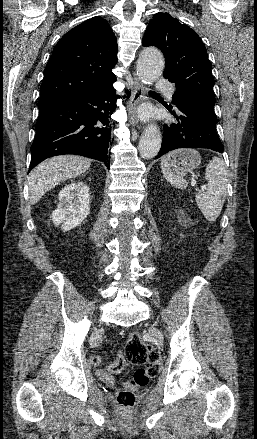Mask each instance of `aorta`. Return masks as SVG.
I'll return each mask as SVG.
<instances>
[{"mask_svg":"<svg viewBox=\"0 0 257 439\" xmlns=\"http://www.w3.org/2000/svg\"><path fill=\"white\" fill-rule=\"evenodd\" d=\"M164 58L162 53L153 47L145 48L139 55L137 61V76L146 83L156 81L163 72ZM161 146V134L156 125L146 127L139 141V153L143 159L154 158Z\"/></svg>","mask_w":257,"mask_h":439,"instance_id":"obj_1","label":"aorta"}]
</instances>
